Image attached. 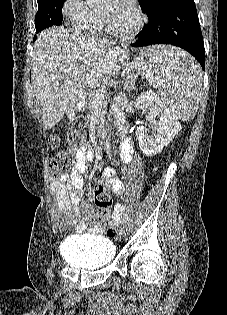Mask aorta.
<instances>
[{
    "label": "aorta",
    "mask_w": 227,
    "mask_h": 315,
    "mask_svg": "<svg viewBox=\"0 0 227 315\" xmlns=\"http://www.w3.org/2000/svg\"><path fill=\"white\" fill-rule=\"evenodd\" d=\"M89 5L103 4L106 0H86Z\"/></svg>",
    "instance_id": "aorta-1"
}]
</instances>
